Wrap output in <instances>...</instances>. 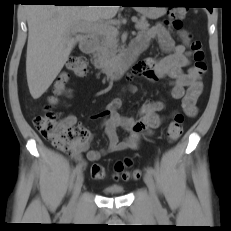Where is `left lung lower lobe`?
<instances>
[{"mask_svg":"<svg viewBox=\"0 0 231 231\" xmlns=\"http://www.w3.org/2000/svg\"><path fill=\"white\" fill-rule=\"evenodd\" d=\"M207 9H208L210 12H212V8H211V7H207Z\"/></svg>","mask_w":231,"mask_h":231,"instance_id":"1","label":"left lung lower lobe"}]
</instances>
